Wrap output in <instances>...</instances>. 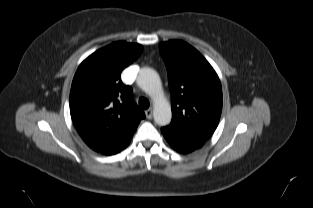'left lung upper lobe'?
I'll use <instances>...</instances> for the list:
<instances>
[{
	"label": "left lung upper lobe",
	"mask_w": 313,
	"mask_h": 208,
	"mask_svg": "<svg viewBox=\"0 0 313 208\" xmlns=\"http://www.w3.org/2000/svg\"><path fill=\"white\" fill-rule=\"evenodd\" d=\"M168 70L172 121L162 130L182 141L203 145L222 111L220 80L208 61L181 40L159 44Z\"/></svg>",
	"instance_id": "5c2ea615"
}]
</instances>
